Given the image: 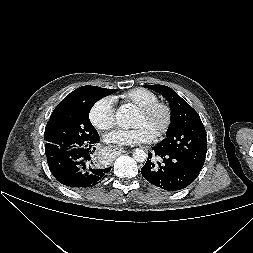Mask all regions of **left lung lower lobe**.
Instances as JSON below:
<instances>
[{
    "instance_id": "1",
    "label": "left lung lower lobe",
    "mask_w": 253,
    "mask_h": 253,
    "mask_svg": "<svg viewBox=\"0 0 253 253\" xmlns=\"http://www.w3.org/2000/svg\"><path fill=\"white\" fill-rule=\"evenodd\" d=\"M153 153L141 168L142 176L152 185L166 191H178L189 186L199 175L196 168L180 157L153 147ZM156 157L159 162H154Z\"/></svg>"
}]
</instances>
